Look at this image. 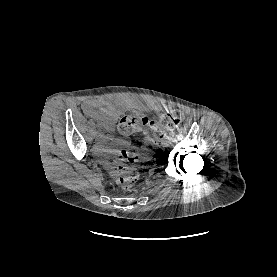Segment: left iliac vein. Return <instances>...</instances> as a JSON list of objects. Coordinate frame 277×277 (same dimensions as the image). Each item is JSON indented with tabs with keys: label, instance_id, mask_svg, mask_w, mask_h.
Wrapping results in <instances>:
<instances>
[{
	"label": "left iliac vein",
	"instance_id": "left-iliac-vein-1",
	"mask_svg": "<svg viewBox=\"0 0 277 277\" xmlns=\"http://www.w3.org/2000/svg\"><path fill=\"white\" fill-rule=\"evenodd\" d=\"M169 143H170V141H169V140H164V141H163V146H168V145H169Z\"/></svg>",
	"mask_w": 277,
	"mask_h": 277
}]
</instances>
